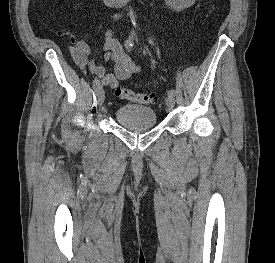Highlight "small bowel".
Masks as SVG:
<instances>
[{
	"label": "small bowel",
	"instance_id": "1",
	"mask_svg": "<svg viewBox=\"0 0 275 263\" xmlns=\"http://www.w3.org/2000/svg\"><path fill=\"white\" fill-rule=\"evenodd\" d=\"M104 51L105 62H112L114 65L112 73L106 65L89 64L90 48L84 41L73 39L69 46V52L76 65L99 79L101 85L109 86L111 89H114L119 81L128 80L141 70L140 66L123 52L120 43L113 37L111 27L105 32Z\"/></svg>",
	"mask_w": 275,
	"mask_h": 263
}]
</instances>
